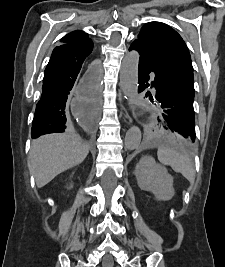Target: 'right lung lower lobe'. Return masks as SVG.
<instances>
[{
	"label": "right lung lower lobe",
	"instance_id": "1",
	"mask_svg": "<svg viewBox=\"0 0 225 267\" xmlns=\"http://www.w3.org/2000/svg\"><path fill=\"white\" fill-rule=\"evenodd\" d=\"M92 49L91 44H61L54 48L44 71L42 95L32 122V138L64 132L67 99L77 85L76 80ZM95 90V79H92L87 94L91 97Z\"/></svg>",
	"mask_w": 225,
	"mask_h": 267
}]
</instances>
